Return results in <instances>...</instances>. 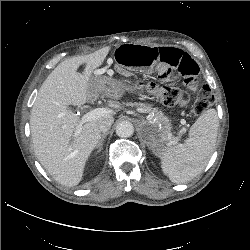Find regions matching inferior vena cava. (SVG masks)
<instances>
[{"label": "inferior vena cava", "mask_w": 250, "mask_h": 250, "mask_svg": "<svg viewBox=\"0 0 250 250\" xmlns=\"http://www.w3.org/2000/svg\"><path fill=\"white\" fill-rule=\"evenodd\" d=\"M113 122H114V119H107V120L102 121L99 124V131L102 133L108 132V130L111 128V125L113 124Z\"/></svg>", "instance_id": "602c4592"}]
</instances>
